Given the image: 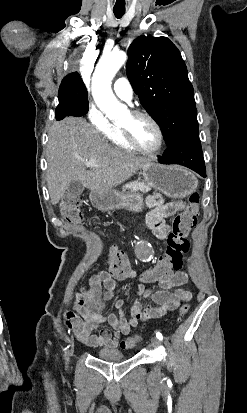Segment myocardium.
I'll return each mask as SVG.
<instances>
[{"label":"myocardium","instance_id":"f54148a6","mask_svg":"<svg viewBox=\"0 0 247 413\" xmlns=\"http://www.w3.org/2000/svg\"><path fill=\"white\" fill-rule=\"evenodd\" d=\"M131 117L133 118V120L139 119V118H145L146 120L149 121V123L155 128L157 129L158 133H159V144L152 149H148L143 147L135 138L133 131L131 129L130 126L126 127V128H120V131L122 133V136L124 138V140L135 150L145 154V155H155L160 153L163 148L165 147L166 144V135L165 132L163 130V128L161 127V125L155 120V118L149 114L148 112L144 111V110H135L131 113Z\"/></svg>","mask_w":247,"mask_h":413}]
</instances>
